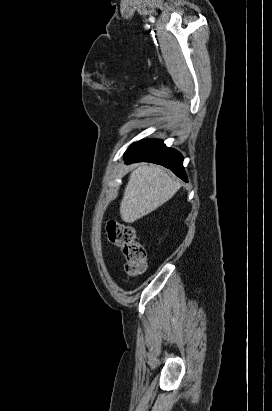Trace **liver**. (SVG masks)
<instances>
[{"label":"liver","instance_id":"1","mask_svg":"<svg viewBox=\"0 0 272 411\" xmlns=\"http://www.w3.org/2000/svg\"><path fill=\"white\" fill-rule=\"evenodd\" d=\"M181 184L157 165L138 164L132 170L120 203L124 222L133 223L170 200Z\"/></svg>","mask_w":272,"mask_h":411}]
</instances>
